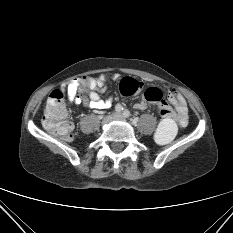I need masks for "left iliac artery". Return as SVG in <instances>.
Returning <instances> with one entry per match:
<instances>
[{
	"label": "left iliac artery",
	"mask_w": 233,
	"mask_h": 233,
	"mask_svg": "<svg viewBox=\"0 0 233 233\" xmlns=\"http://www.w3.org/2000/svg\"><path fill=\"white\" fill-rule=\"evenodd\" d=\"M123 116H124L125 118H128V117L130 116V112H129L128 110H124V111H123Z\"/></svg>",
	"instance_id": "1"
}]
</instances>
